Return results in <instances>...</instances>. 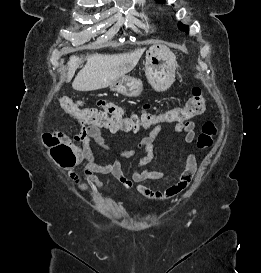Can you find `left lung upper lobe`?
Segmentation results:
<instances>
[{"instance_id": "obj_1", "label": "left lung upper lobe", "mask_w": 261, "mask_h": 273, "mask_svg": "<svg viewBox=\"0 0 261 273\" xmlns=\"http://www.w3.org/2000/svg\"><path fill=\"white\" fill-rule=\"evenodd\" d=\"M159 2H164V0H157ZM179 29L182 30V31H185L186 33L189 32V27L187 25H183L181 23H179Z\"/></svg>"}]
</instances>
